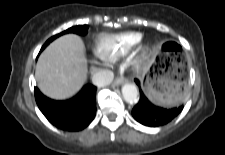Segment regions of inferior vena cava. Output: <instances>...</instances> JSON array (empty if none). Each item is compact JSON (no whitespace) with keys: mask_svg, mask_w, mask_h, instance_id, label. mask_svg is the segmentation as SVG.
I'll return each mask as SVG.
<instances>
[{"mask_svg":"<svg viewBox=\"0 0 225 155\" xmlns=\"http://www.w3.org/2000/svg\"><path fill=\"white\" fill-rule=\"evenodd\" d=\"M113 78L114 74L111 70L102 69L93 75L92 82L98 87H104L109 85L113 81Z\"/></svg>","mask_w":225,"mask_h":155,"instance_id":"1","label":"inferior vena cava"}]
</instances>
